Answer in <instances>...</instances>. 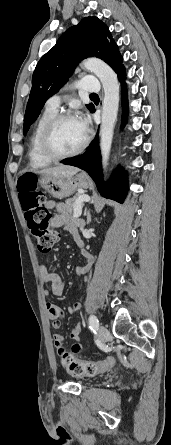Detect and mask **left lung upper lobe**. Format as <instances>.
<instances>
[{
    "label": "left lung upper lobe",
    "mask_w": 171,
    "mask_h": 445,
    "mask_svg": "<svg viewBox=\"0 0 171 445\" xmlns=\"http://www.w3.org/2000/svg\"><path fill=\"white\" fill-rule=\"evenodd\" d=\"M95 56L115 71L123 66L118 46L108 27L97 17H85L70 27L55 46L39 60L32 77V88L24 116L23 134L39 116L46 100L54 95L84 58ZM91 111L92 103L86 105Z\"/></svg>",
    "instance_id": "1"
}]
</instances>
